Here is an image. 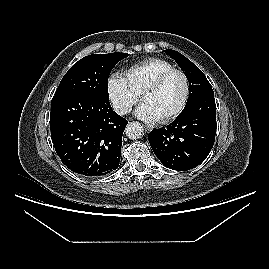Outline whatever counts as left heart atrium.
<instances>
[{
	"instance_id": "left-heart-atrium-1",
	"label": "left heart atrium",
	"mask_w": 269,
	"mask_h": 269,
	"mask_svg": "<svg viewBox=\"0 0 269 269\" xmlns=\"http://www.w3.org/2000/svg\"><path fill=\"white\" fill-rule=\"evenodd\" d=\"M135 115L147 122H155L158 120L157 115L153 111V109L150 107V105L146 102H143L140 104L137 109L135 110Z\"/></svg>"
}]
</instances>
